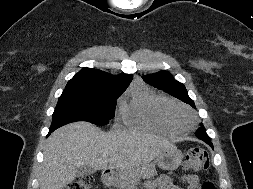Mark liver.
Wrapping results in <instances>:
<instances>
[{
	"mask_svg": "<svg viewBox=\"0 0 253 189\" xmlns=\"http://www.w3.org/2000/svg\"><path fill=\"white\" fill-rule=\"evenodd\" d=\"M175 146L163 137L136 130L106 133L88 122L67 124L56 130L44 149L40 189H63L75 180L81 165L95 170L117 169L134 189L149 163Z\"/></svg>",
	"mask_w": 253,
	"mask_h": 189,
	"instance_id": "6515ba94",
	"label": "liver"
}]
</instances>
